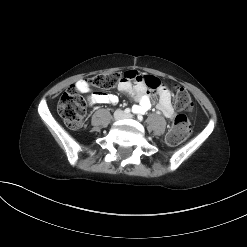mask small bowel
Segmentation results:
<instances>
[{"instance_id": "obj_1", "label": "small bowel", "mask_w": 247, "mask_h": 247, "mask_svg": "<svg viewBox=\"0 0 247 247\" xmlns=\"http://www.w3.org/2000/svg\"><path fill=\"white\" fill-rule=\"evenodd\" d=\"M124 75L117 88L136 102L133 106L134 113L143 114L147 112L151 107L153 96L157 95V108L166 118H174L172 94L166 85L162 84L154 76L140 75L134 70L127 71ZM151 81H155L156 85L152 86ZM75 89L87 96V101L90 105L118 102V97L115 94L91 91L87 81L84 79L76 82Z\"/></svg>"}]
</instances>
